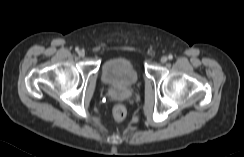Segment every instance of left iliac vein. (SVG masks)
<instances>
[{"label": "left iliac vein", "instance_id": "obj_1", "mask_svg": "<svg viewBox=\"0 0 244 157\" xmlns=\"http://www.w3.org/2000/svg\"><path fill=\"white\" fill-rule=\"evenodd\" d=\"M167 60H168V59H167V57H166V56H162V57H161V62H162V63H166V62H167Z\"/></svg>", "mask_w": 244, "mask_h": 157}]
</instances>
